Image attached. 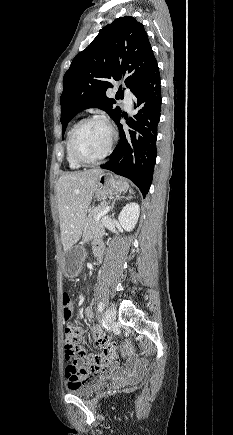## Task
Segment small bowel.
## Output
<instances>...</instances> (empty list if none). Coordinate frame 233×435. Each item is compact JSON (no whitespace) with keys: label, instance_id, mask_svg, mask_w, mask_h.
Returning a JSON list of instances; mask_svg holds the SVG:
<instances>
[{"label":"small bowel","instance_id":"c3829d8e","mask_svg":"<svg viewBox=\"0 0 233 435\" xmlns=\"http://www.w3.org/2000/svg\"><path fill=\"white\" fill-rule=\"evenodd\" d=\"M102 252H103L102 243L96 242L94 245V253L98 259H101ZM72 309H73V304H72ZM86 316L87 317H94L93 310H91V309L87 310ZM64 319L68 320L65 317H64ZM90 332H91V335L93 338V343L95 346H106L109 343L108 338L106 337V335L104 334V332L100 326L96 325V326L91 327ZM80 341H82V332H80ZM80 353H81V356H80L79 360L81 361V366L75 367V366L68 365L65 369V378H66L67 382L70 384L78 385L82 381L90 380L91 375L95 376V377H100V376L106 377V376H110L114 373L122 372L124 370L128 374L134 375V374L139 373L143 368L142 363L137 361L135 359L134 353L131 350H129V351H126L124 353V357L126 358V365L125 366H122L118 362L117 356L115 354H106L105 356L100 355L99 358L103 363L101 368L95 373L83 374L82 370L83 369L88 370L90 368L91 364L93 363V361L97 357L92 358L90 356H86L82 349H80Z\"/></svg>","mask_w":233,"mask_h":435}]
</instances>
